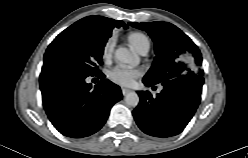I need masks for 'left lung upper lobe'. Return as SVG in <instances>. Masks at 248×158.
<instances>
[{
  "label": "left lung upper lobe",
  "instance_id": "1",
  "mask_svg": "<svg viewBox=\"0 0 248 158\" xmlns=\"http://www.w3.org/2000/svg\"><path fill=\"white\" fill-rule=\"evenodd\" d=\"M129 24L146 31L155 43L156 57L144 79L164 85L183 75H202L201 52L179 28L168 22Z\"/></svg>",
  "mask_w": 248,
  "mask_h": 158
}]
</instances>
